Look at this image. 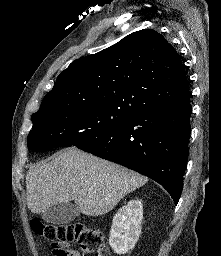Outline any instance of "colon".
<instances>
[{
	"mask_svg": "<svg viewBox=\"0 0 221 256\" xmlns=\"http://www.w3.org/2000/svg\"><path fill=\"white\" fill-rule=\"evenodd\" d=\"M31 226L35 233L53 243V253L60 252L59 245L76 241L83 256H105L106 239L103 233L86 223L50 224L34 219Z\"/></svg>",
	"mask_w": 221,
	"mask_h": 256,
	"instance_id": "1",
	"label": "colon"
}]
</instances>
